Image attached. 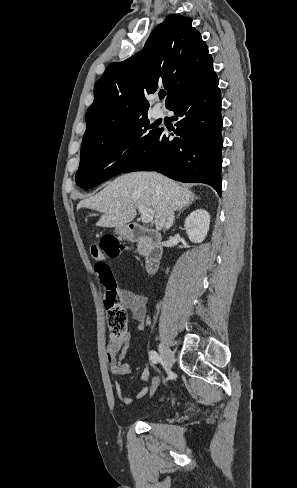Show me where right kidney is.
<instances>
[{
	"label": "right kidney",
	"mask_w": 297,
	"mask_h": 488,
	"mask_svg": "<svg viewBox=\"0 0 297 488\" xmlns=\"http://www.w3.org/2000/svg\"><path fill=\"white\" fill-rule=\"evenodd\" d=\"M210 225V215L204 209L191 212L184 222L186 233L191 242L201 243L205 240Z\"/></svg>",
	"instance_id": "ca27d5eb"
}]
</instances>
